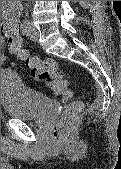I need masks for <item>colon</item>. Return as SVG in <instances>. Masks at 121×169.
Here are the masks:
<instances>
[{"label": "colon", "instance_id": "colon-1", "mask_svg": "<svg viewBox=\"0 0 121 169\" xmlns=\"http://www.w3.org/2000/svg\"><path fill=\"white\" fill-rule=\"evenodd\" d=\"M4 38L8 49L16 53L25 62L36 81L44 83L53 94L61 96L65 100L71 98L72 92L69 89L68 82L54 60L31 56L23 47V41L17 31H6ZM81 110L82 103L79 101H74L67 105L64 114L53 126L52 137L55 141L63 143L70 138L73 120Z\"/></svg>", "mask_w": 121, "mask_h": 169}]
</instances>
